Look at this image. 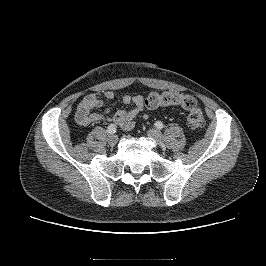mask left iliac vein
Returning <instances> with one entry per match:
<instances>
[{
	"label": "left iliac vein",
	"mask_w": 266,
	"mask_h": 266,
	"mask_svg": "<svg viewBox=\"0 0 266 266\" xmlns=\"http://www.w3.org/2000/svg\"><path fill=\"white\" fill-rule=\"evenodd\" d=\"M147 135L149 138L157 142L158 144H163L164 143V138L163 135L159 130L156 129H149L147 131Z\"/></svg>",
	"instance_id": "left-iliac-vein-1"
}]
</instances>
